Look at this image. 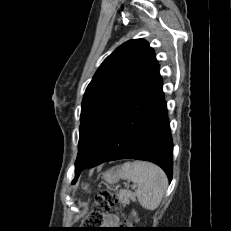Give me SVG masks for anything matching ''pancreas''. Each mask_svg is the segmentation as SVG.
I'll return each mask as SVG.
<instances>
[{"label":"pancreas","mask_w":231,"mask_h":231,"mask_svg":"<svg viewBox=\"0 0 231 231\" xmlns=\"http://www.w3.org/2000/svg\"><path fill=\"white\" fill-rule=\"evenodd\" d=\"M118 200L119 202H121L122 204H128L130 202V199L134 200V193H132L129 190H121L118 194H117Z\"/></svg>","instance_id":"cf45deb5"}]
</instances>
